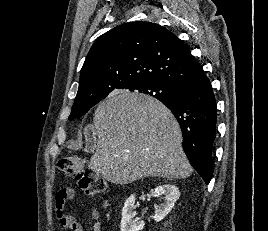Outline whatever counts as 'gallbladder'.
Listing matches in <instances>:
<instances>
[{
    "instance_id": "gallbladder-1",
    "label": "gallbladder",
    "mask_w": 268,
    "mask_h": 231,
    "mask_svg": "<svg viewBox=\"0 0 268 231\" xmlns=\"http://www.w3.org/2000/svg\"><path fill=\"white\" fill-rule=\"evenodd\" d=\"M94 149H95V145H94L93 142H91V143H89V144L87 145V151H88V152H94Z\"/></svg>"
}]
</instances>
